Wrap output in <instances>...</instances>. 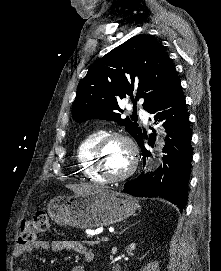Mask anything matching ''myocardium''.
Segmentation results:
<instances>
[{"mask_svg":"<svg viewBox=\"0 0 221 271\" xmlns=\"http://www.w3.org/2000/svg\"><path fill=\"white\" fill-rule=\"evenodd\" d=\"M109 137L102 138L99 140V145H96V153L92 154L91 160L93 163V169L97 175H100L101 178H130V175L133 174L134 170H136V163L138 159L139 146L134 145L133 137L130 136L124 130L121 131H110L108 132ZM110 142H121V149L127 150V153L124 154V157L129 163V167L121 173V175H108V172H103L102 163H101V155H104V150H106V145H110ZM95 167V168H94Z\"/></svg>","mask_w":221,"mask_h":271,"instance_id":"f54148a6","label":"myocardium"}]
</instances>
